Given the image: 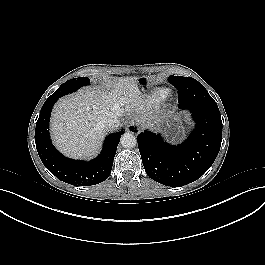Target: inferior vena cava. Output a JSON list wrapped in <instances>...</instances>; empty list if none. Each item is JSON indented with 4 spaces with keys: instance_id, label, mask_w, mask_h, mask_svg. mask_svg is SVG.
I'll use <instances>...</instances> for the list:
<instances>
[{
    "instance_id": "inferior-vena-cava-1",
    "label": "inferior vena cava",
    "mask_w": 265,
    "mask_h": 265,
    "mask_svg": "<svg viewBox=\"0 0 265 265\" xmlns=\"http://www.w3.org/2000/svg\"><path fill=\"white\" fill-rule=\"evenodd\" d=\"M119 125H120V121L118 120V117L116 114H111L109 117L102 119L98 123V126L104 130L115 128V127H118Z\"/></svg>"
}]
</instances>
